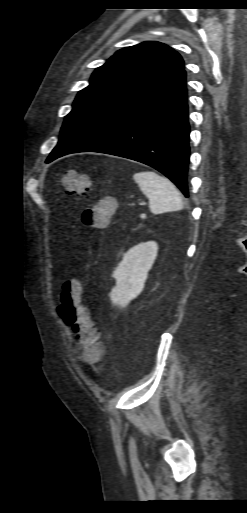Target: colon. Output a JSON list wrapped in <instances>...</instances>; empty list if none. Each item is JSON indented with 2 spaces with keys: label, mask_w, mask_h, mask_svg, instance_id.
I'll list each match as a JSON object with an SVG mask.
<instances>
[{
  "label": "colon",
  "mask_w": 247,
  "mask_h": 513,
  "mask_svg": "<svg viewBox=\"0 0 247 513\" xmlns=\"http://www.w3.org/2000/svg\"><path fill=\"white\" fill-rule=\"evenodd\" d=\"M63 183L70 194L84 196L90 191V180L86 175L77 171H67ZM116 205L111 198H104L100 203L86 209L82 215L84 224L96 228H106L110 225ZM83 286L79 279H69L60 293L59 313L70 327L74 337L82 346L80 358L84 362L101 361L104 348L99 339L96 327L89 309L82 304Z\"/></svg>",
  "instance_id": "obj_1"
}]
</instances>
